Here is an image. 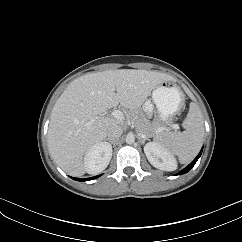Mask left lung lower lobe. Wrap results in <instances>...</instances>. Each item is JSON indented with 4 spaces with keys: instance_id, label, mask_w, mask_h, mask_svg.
<instances>
[{
    "instance_id": "obj_1",
    "label": "left lung lower lobe",
    "mask_w": 242,
    "mask_h": 242,
    "mask_svg": "<svg viewBox=\"0 0 242 242\" xmlns=\"http://www.w3.org/2000/svg\"><path fill=\"white\" fill-rule=\"evenodd\" d=\"M201 153H202V149H201L200 153L198 154V156L186 168H184L182 171L177 173V175H181V174L187 173L189 170H191L192 167L197 162L198 158L200 157Z\"/></svg>"
}]
</instances>
